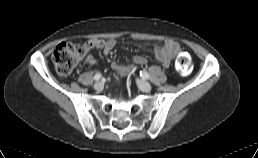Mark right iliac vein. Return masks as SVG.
Segmentation results:
<instances>
[{"label": "right iliac vein", "instance_id": "63e3f726", "mask_svg": "<svg viewBox=\"0 0 258 158\" xmlns=\"http://www.w3.org/2000/svg\"><path fill=\"white\" fill-rule=\"evenodd\" d=\"M94 89L95 90H97V91H100V90H102L103 89V83L102 82H96L95 84H94Z\"/></svg>", "mask_w": 258, "mask_h": 158}]
</instances>
